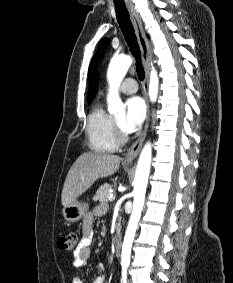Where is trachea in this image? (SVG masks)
Instances as JSON below:
<instances>
[{
	"label": "trachea",
	"mask_w": 233,
	"mask_h": 283,
	"mask_svg": "<svg viewBox=\"0 0 233 283\" xmlns=\"http://www.w3.org/2000/svg\"><path fill=\"white\" fill-rule=\"evenodd\" d=\"M115 11L119 26L127 42V45L130 48L132 55L136 59V70L138 78L142 81L145 77V72L141 64L140 48L137 42L133 25L130 21L128 10L126 7H120L115 5Z\"/></svg>",
	"instance_id": "1"
}]
</instances>
